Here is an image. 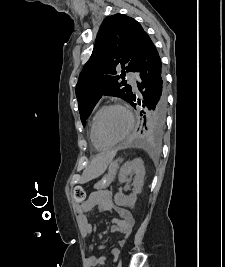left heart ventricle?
<instances>
[{"mask_svg":"<svg viewBox=\"0 0 225 267\" xmlns=\"http://www.w3.org/2000/svg\"><path fill=\"white\" fill-rule=\"evenodd\" d=\"M129 119L125 111L121 109H111L100 122V132L107 141L120 139L127 131Z\"/></svg>","mask_w":225,"mask_h":267,"instance_id":"1","label":"left heart ventricle"}]
</instances>
